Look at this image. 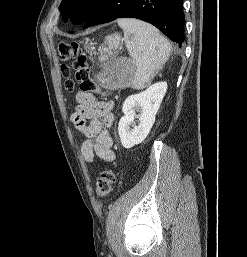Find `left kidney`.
I'll list each match as a JSON object with an SVG mask.
<instances>
[{
  "instance_id": "5707ae66",
  "label": "left kidney",
  "mask_w": 247,
  "mask_h": 257,
  "mask_svg": "<svg viewBox=\"0 0 247 257\" xmlns=\"http://www.w3.org/2000/svg\"><path fill=\"white\" fill-rule=\"evenodd\" d=\"M166 91L167 83L158 82L145 91L126 98L122 106L124 116L118 124V133L124 148H132L148 136ZM135 118H138V125L134 124Z\"/></svg>"
}]
</instances>
